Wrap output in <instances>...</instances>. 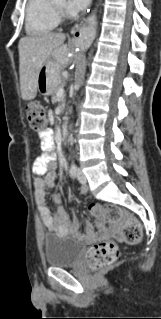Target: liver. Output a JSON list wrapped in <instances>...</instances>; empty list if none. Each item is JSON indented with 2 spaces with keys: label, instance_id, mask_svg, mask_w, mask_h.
Instances as JSON below:
<instances>
[{
  "label": "liver",
  "instance_id": "6515ba94",
  "mask_svg": "<svg viewBox=\"0 0 161 319\" xmlns=\"http://www.w3.org/2000/svg\"><path fill=\"white\" fill-rule=\"evenodd\" d=\"M64 41L65 35L60 33H42L20 39L19 74L23 100H32L36 97L39 71L52 51L60 48ZM67 53L66 50L63 57L64 64L68 62Z\"/></svg>",
  "mask_w": 161,
  "mask_h": 319
}]
</instances>
